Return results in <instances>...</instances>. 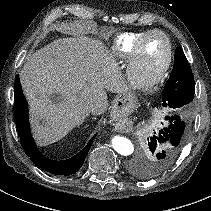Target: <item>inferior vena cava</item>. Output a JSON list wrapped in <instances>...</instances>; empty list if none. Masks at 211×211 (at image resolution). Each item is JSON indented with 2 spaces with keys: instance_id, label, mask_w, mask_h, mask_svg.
Here are the masks:
<instances>
[{
  "instance_id": "obj_1",
  "label": "inferior vena cava",
  "mask_w": 211,
  "mask_h": 211,
  "mask_svg": "<svg viewBox=\"0 0 211 211\" xmlns=\"http://www.w3.org/2000/svg\"><path fill=\"white\" fill-rule=\"evenodd\" d=\"M93 107H94V103L92 102L90 103V108L93 109Z\"/></svg>"
}]
</instances>
